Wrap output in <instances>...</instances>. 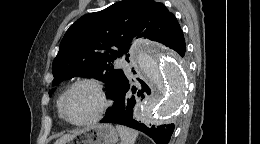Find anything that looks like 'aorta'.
Instances as JSON below:
<instances>
[{
  "label": "aorta",
  "instance_id": "762f6f07",
  "mask_svg": "<svg viewBox=\"0 0 260 144\" xmlns=\"http://www.w3.org/2000/svg\"><path fill=\"white\" fill-rule=\"evenodd\" d=\"M136 61L155 88L145 108L139 110L138 119L145 124L162 122L177 111L184 95L185 79L179 59L166 48L142 43L137 44Z\"/></svg>",
  "mask_w": 260,
  "mask_h": 144
}]
</instances>
